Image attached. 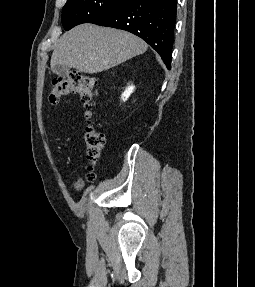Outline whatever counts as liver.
Returning <instances> with one entry per match:
<instances>
[{"instance_id": "1", "label": "liver", "mask_w": 255, "mask_h": 287, "mask_svg": "<svg viewBox=\"0 0 255 287\" xmlns=\"http://www.w3.org/2000/svg\"><path fill=\"white\" fill-rule=\"evenodd\" d=\"M146 50L147 44L129 32L82 24L58 40L50 66H67L85 74H97Z\"/></svg>"}]
</instances>
